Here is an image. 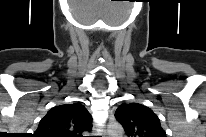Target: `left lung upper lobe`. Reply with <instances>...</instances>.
Masks as SVG:
<instances>
[{"label":"left lung upper lobe","mask_w":206,"mask_h":137,"mask_svg":"<svg viewBox=\"0 0 206 137\" xmlns=\"http://www.w3.org/2000/svg\"><path fill=\"white\" fill-rule=\"evenodd\" d=\"M115 117L129 137H166L157 115L142 104H122Z\"/></svg>","instance_id":"5c2ea615"}]
</instances>
